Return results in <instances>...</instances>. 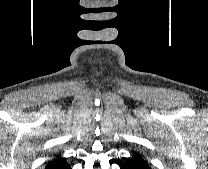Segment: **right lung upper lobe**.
<instances>
[{
    "instance_id": "obj_1",
    "label": "right lung upper lobe",
    "mask_w": 208,
    "mask_h": 169,
    "mask_svg": "<svg viewBox=\"0 0 208 169\" xmlns=\"http://www.w3.org/2000/svg\"><path fill=\"white\" fill-rule=\"evenodd\" d=\"M60 159H62V157H60L59 155H56V157H55L54 159H52V160L48 163V165L51 164V163H53V162H55V161H58V160H60Z\"/></svg>"
}]
</instances>
